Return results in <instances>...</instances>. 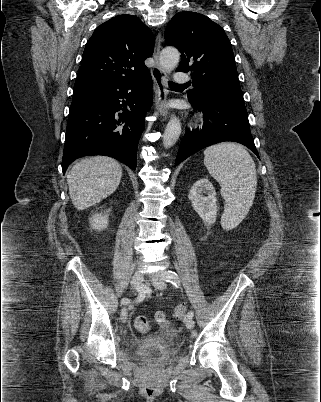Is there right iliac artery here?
Listing matches in <instances>:
<instances>
[{"label": "right iliac artery", "instance_id": "1", "mask_svg": "<svg viewBox=\"0 0 321 402\" xmlns=\"http://www.w3.org/2000/svg\"><path fill=\"white\" fill-rule=\"evenodd\" d=\"M141 297V296H140ZM140 300V299H139ZM121 303L122 304H127V303H129V299L128 298H123L122 300H121Z\"/></svg>", "mask_w": 321, "mask_h": 402}]
</instances>
